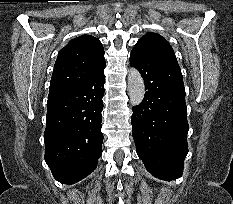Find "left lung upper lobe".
Returning <instances> with one entry per match:
<instances>
[{"label":"left lung upper lobe","mask_w":233,"mask_h":204,"mask_svg":"<svg viewBox=\"0 0 233 204\" xmlns=\"http://www.w3.org/2000/svg\"><path fill=\"white\" fill-rule=\"evenodd\" d=\"M133 50L172 65H178L170 44L159 34L149 32L138 40Z\"/></svg>","instance_id":"left-lung-upper-lobe-1"}]
</instances>
